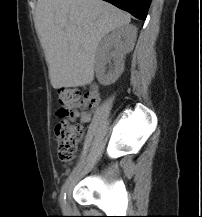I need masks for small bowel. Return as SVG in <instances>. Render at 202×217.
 <instances>
[{
    "label": "small bowel",
    "instance_id": "obj_1",
    "mask_svg": "<svg viewBox=\"0 0 202 217\" xmlns=\"http://www.w3.org/2000/svg\"><path fill=\"white\" fill-rule=\"evenodd\" d=\"M99 103V96L96 92L89 94V101L86 104L78 105L72 110V119L79 118L82 123L90 121L94 110Z\"/></svg>",
    "mask_w": 202,
    "mask_h": 217
}]
</instances>
